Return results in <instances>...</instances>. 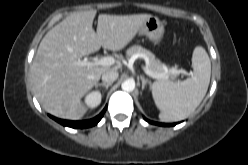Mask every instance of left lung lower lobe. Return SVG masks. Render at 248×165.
<instances>
[{"label": "left lung lower lobe", "mask_w": 248, "mask_h": 165, "mask_svg": "<svg viewBox=\"0 0 248 165\" xmlns=\"http://www.w3.org/2000/svg\"><path fill=\"white\" fill-rule=\"evenodd\" d=\"M144 119H145L148 123H150V124H156V125H160V126H173V125H175V124L156 123V122L147 120L146 118H144Z\"/></svg>", "instance_id": "0a47b994"}]
</instances>
